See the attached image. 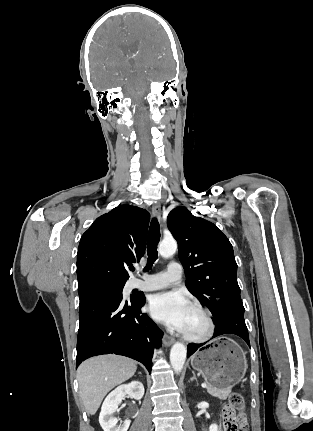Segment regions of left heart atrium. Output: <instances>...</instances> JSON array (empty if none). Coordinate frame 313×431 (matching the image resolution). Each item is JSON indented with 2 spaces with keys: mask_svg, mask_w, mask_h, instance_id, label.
Wrapping results in <instances>:
<instances>
[{
  "mask_svg": "<svg viewBox=\"0 0 313 431\" xmlns=\"http://www.w3.org/2000/svg\"><path fill=\"white\" fill-rule=\"evenodd\" d=\"M190 303L181 292L155 294L149 303L151 315L165 325L183 332Z\"/></svg>",
  "mask_w": 313,
  "mask_h": 431,
  "instance_id": "left-heart-atrium-1",
  "label": "left heart atrium"
}]
</instances>
